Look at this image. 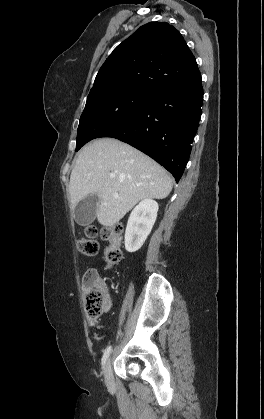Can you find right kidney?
<instances>
[{"label":"right kidney","instance_id":"1","mask_svg":"<svg viewBox=\"0 0 264 419\" xmlns=\"http://www.w3.org/2000/svg\"><path fill=\"white\" fill-rule=\"evenodd\" d=\"M158 203L142 200L131 212L125 231V249L136 252L141 248L156 221Z\"/></svg>","mask_w":264,"mask_h":419}]
</instances>
